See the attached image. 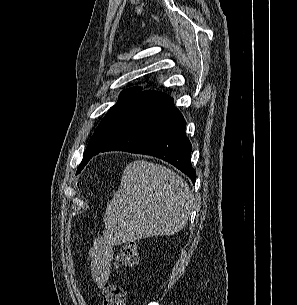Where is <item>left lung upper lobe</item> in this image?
I'll list each match as a JSON object with an SVG mask.
<instances>
[{"label": "left lung upper lobe", "mask_w": 297, "mask_h": 305, "mask_svg": "<svg viewBox=\"0 0 297 305\" xmlns=\"http://www.w3.org/2000/svg\"><path fill=\"white\" fill-rule=\"evenodd\" d=\"M141 87L124 90L119 97V101L110 108L105 117L100 122L94 135L91 137L88 146L83 154V160L77 169L79 173L90 160V156L99 148L104 137L112 126L114 120L126 108V106L140 93Z\"/></svg>", "instance_id": "1"}]
</instances>
